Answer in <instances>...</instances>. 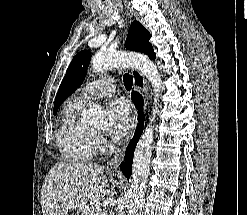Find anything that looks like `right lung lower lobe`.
Returning a JSON list of instances; mask_svg holds the SVG:
<instances>
[{"mask_svg":"<svg viewBox=\"0 0 247 215\" xmlns=\"http://www.w3.org/2000/svg\"><path fill=\"white\" fill-rule=\"evenodd\" d=\"M132 101L136 105L138 109V123L134 137L130 141L126 153H125V161L120 164V169L124 173V175L129 179V175L131 174L132 169V159H133V153L136 147V144L141 136L142 130H143V118L144 115L142 113V106H143V99L142 96L138 93L133 91L131 94Z\"/></svg>","mask_w":247,"mask_h":215,"instance_id":"obj_1","label":"right lung lower lobe"}]
</instances>
